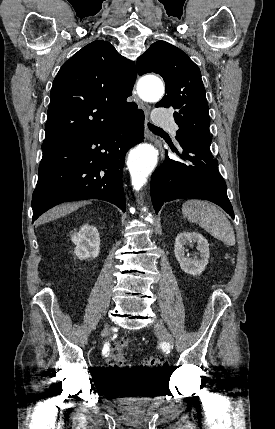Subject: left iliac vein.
<instances>
[{"label": "left iliac vein", "mask_w": 275, "mask_h": 429, "mask_svg": "<svg viewBox=\"0 0 275 429\" xmlns=\"http://www.w3.org/2000/svg\"><path fill=\"white\" fill-rule=\"evenodd\" d=\"M154 330L158 338L168 348H173V338L162 322L157 321L154 325Z\"/></svg>", "instance_id": "left-iliac-vein-1"}]
</instances>
